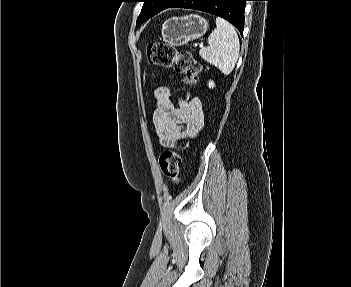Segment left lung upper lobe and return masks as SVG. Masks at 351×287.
I'll return each instance as SVG.
<instances>
[{
    "instance_id": "left-lung-upper-lobe-1",
    "label": "left lung upper lobe",
    "mask_w": 351,
    "mask_h": 287,
    "mask_svg": "<svg viewBox=\"0 0 351 287\" xmlns=\"http://www.w3.org/2000/svg\"><path fill=\"white\" fill-rule=\"evenodd\" d=\"M144 2L141 13L137 19V26L168 8L176 0H141Z\"/></svg>"
}]
</instances>
